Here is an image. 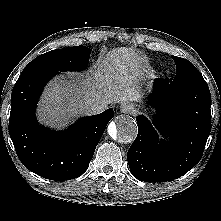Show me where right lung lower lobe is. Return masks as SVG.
Masks as SVG:
<instances>
[{
	"label": "right lung lower lobe",
	"mask_w": 221,
	"mask_h": 221,
	"mask_svg": "<svg viewBox=\"0 0 221 221\" xmlns=\"http://www.w3.org/2000/svg\"><path fill=\"white\" fill-rule=\"evenodd\" d=\"M57 71L32 69L22 72L11 95L9 134L22 164L37 175L55 181L82 175L112 119L110 108L80 119L63 132L36 122L35 107L46 82Z\"/></svg>",
	"instance_id": "1"
}]
</instances>
